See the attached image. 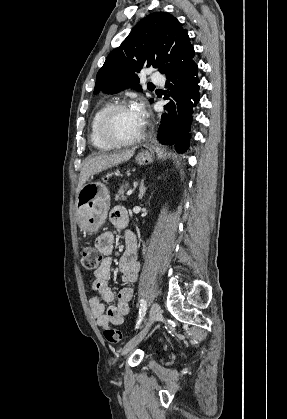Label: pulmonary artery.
<instances>
[{"instance_id": "pulmonary-artery-1", "label": "pulmonary artery", "mask_w": 287, "mask_h": 419, "mask_svg": "<svg viewBox=\"0 0 287 419\" xmlns=\"http://www.w3.org/2000/svg\"><path fill=\"white\" fill-rule=\"evenodd\" d=\"M149 81L152 84H156V85H163L164 84V79L162 77L161 74L156 73V72H152L149 76Z\"/></svg>"}]
</instances>
